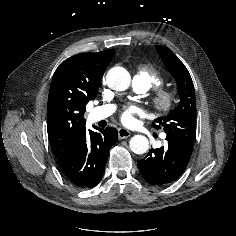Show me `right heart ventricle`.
Returning a JSON list of instances; mask_svg holds the SVG:
<instances>
[{
  "label": "right heart ventricle",
  "instance_id": "obj_1",
  "mask_svg": "<svg viewBox=\"0 0 236 236\" xmlns=\"http://www.w3.org/2000/svg\"><path fill=\"white\" fill-rule=\"evenodd\" d=\"M135 78L144 84L148 89L161 84L163 82V78L159 71L152 65H146L141 67Z\"/></svg>",
  "mask_w": 236,
  "mask_h": 236
}]
</instances>
